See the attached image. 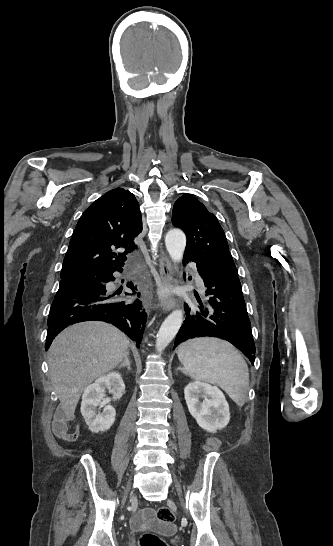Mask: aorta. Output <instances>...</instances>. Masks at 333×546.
I'll return each instance as SVG.
<instances>
[{
	"instance_id": "762f6f07",
	"label": "aorta",
	"mask_w": 333,
	"mask_h": 546,
	"mask_svg": "<svg viewBox=\"0 0 333 546\" xmlns=\"http://www.w3.org/2000/svg\"><path fill=\"white\" fill-rule=\"evenodd\" d=\"M167 251L174 262L181 261L185 246L186 236L180 229L170 230L165 237ZM183 322V311H173L162 323L156 338L157 351L161 352L173 340Z\"/></svg>"
}]
</instances>
